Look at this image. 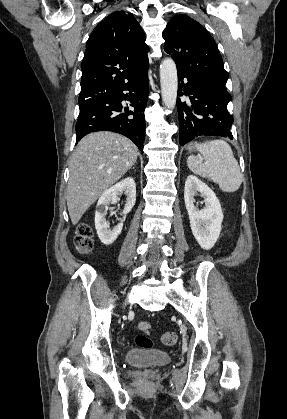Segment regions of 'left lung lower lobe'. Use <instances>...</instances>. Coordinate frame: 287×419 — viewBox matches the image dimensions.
Wrapping results in <instances>:
<instances>
[{
  "instance_id": "1",
  "label": "left lung lower lobe",
  "mask_w": 287,
  "mask_h": 419,
  "mask_svg": "<svg viewBox=\"0 0 287 419\" xmlns=\"http://www.w3.org/2000/svg\"><path fill=\"white\" fill-rule=\"evenodd\" d=\"M178 96H189L190 103L177 97L179 142L188 143L199 136H220L233 139V117L227 110L231 95L225 86L188 78L178 74Z\"/></svg>"
}]
</instances>
